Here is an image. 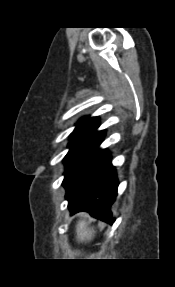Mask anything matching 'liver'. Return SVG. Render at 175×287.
Returning <instances> with one entry per match:
<instances>
[{"label": "liver", "mask_w": 175, "mask_h": 287, "mask_svg": "<svg viewBox=\"0 0 175 287\" xmlns=\"http://www.w3.org/2000/svg\"><path fill=\"white\" fill-rule=\"evenodd\" d=\"M83 219L79 220L76 225V234L78 242H89L95 235V230L92 227H87V216L82 214Z\"/></svg>", "instance_id": "obj_1"}]
</instances>
